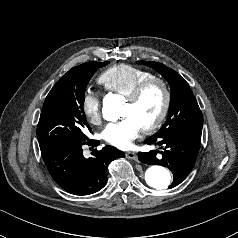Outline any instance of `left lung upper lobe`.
Segmentation results:
<instances>
[{"instance_id": "obj_1", "label": "left lung upper lobe", "mask_w": 238, "mask_h": 238, "mask_svg": "<svg viewBox=\"0 0 238 238\" xmlns=\"http://www.w3.org/2000/svg\"><path fill=\"white\" fill-rule=\"evenodd\" d=\"M159 72L170 84L171 99L167 120L152 136H159L177 130H202L203 117L197 100L188 83L174 70L157 62L138 61Z\"/></svg>"}]
</instances>
